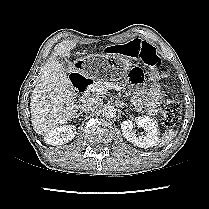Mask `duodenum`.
<instances>
[{"instance_id":"1","label":"duodenum","mask_w":209,"mask_h":209,"mask_svg":"<svg viewBox=\"0 0 209 209\" xmlns=\"http://www.w3.org/2000/svg\"><path fill=\"white\" fill-rule=\"evenodd\" d=\"M71 84L73 85L74 92L76 94H84L87 92L92 84V80L86 78L83 75L74 74L70 78Z\"/></svg>"}]
</instances>
